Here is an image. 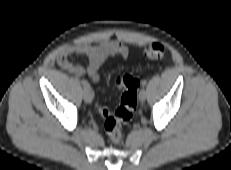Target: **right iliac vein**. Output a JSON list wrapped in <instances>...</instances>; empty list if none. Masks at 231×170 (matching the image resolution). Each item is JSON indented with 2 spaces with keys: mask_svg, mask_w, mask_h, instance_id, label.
Segmentation results:
<instances>
[{
  "mask_svg": "<svg viewBox=\"0 0 231 170\" xmlns=\"http://www.w3.org/2000/svg\"><path fill=\"white\" fill-rule=\"evenodd\" d=\"M83 98L86 103H91L93 99V93L90 89H85L83 91Z\"/></svg>",
  "mask_w": 231,
  "mask_h": 170,
  "instance_id": "1",
  "label": "right iliac vein"
}]
</instances>
